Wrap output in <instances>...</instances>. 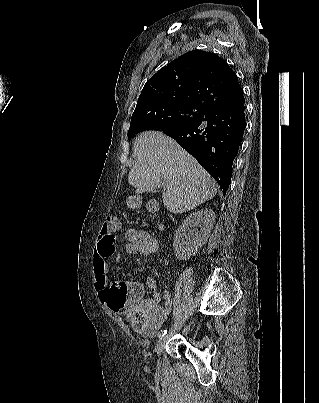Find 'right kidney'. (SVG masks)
<instances>
[{"instance_id": "ca27d5eb", "label": "right kidney", "mask_w": 319, "mask_h": 403, "mask_svg": "<svg viewBox=\"0 0 319 403\" xmlns=\"http://www.w3.org/2000/svg\"><path fill=\"white\" fill-rule=\"evenodd\" d=\"M215 223V213L210 208H205L189 215L183 224L177 229L173 247L179 260H187L195 255L209 238ZM199 225L200 231L187 236L186 228Z\"/></svg>"}]
</instances>
